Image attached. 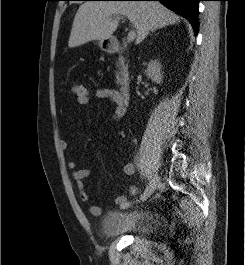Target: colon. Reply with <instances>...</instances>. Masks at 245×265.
<instances>
[{
	"mask_svg": "<svg viewBox=\"0 0 245 265\" xmlns=\"http://www.w3.org/2000/svg\"><path fill=\"white\" fill-rule=\"evenodd\" d=\"M73 95L77 103L81 106H86L90 102V91L85 84H75L72 87Z\"/></svg>",
	"mask_w": 245,
	"mask_h": 265,
	"instance_id": "5ec220e1",
	"label": "colon"
}]
</instances>
